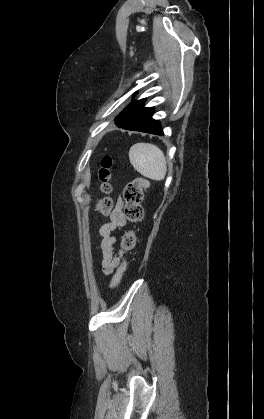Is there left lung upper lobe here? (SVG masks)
Instances as JSON below:
<instances>
[{
	"instance_id": "obj_1",
	"label": "left lung upper lobe",
	"mask_w": 264,
	"mask_h": 419,
	"mask_svg": "<svg viewBox=\"0 0 264 419\" xmlns=\"http://www.w3.org/2000/svg\"><path fill=\"white\" fill-rule=\"evenodd\" d=\"M125 114V110L123 112H121L116 118L121 117Z\"/></svg>"
}]
</instances>
